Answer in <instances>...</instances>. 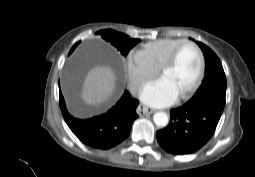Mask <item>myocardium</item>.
<instances>
[{"label":"myocardium","instance_id":"myocardium-1","mask_svg":"<svg viewBox=\"0 0 255 177\" xmlns=\"http://www.w3.org/2000/svg\"><path fill=\"white\" fill-rule=\"evenodd\" d=\"M187 45H190L196 49V51L199 55L200 63H199L198 74H197V77H196L194 83L186 91H184L183 93H181L179 95L181 98H186V97L190 96L191 94H193L198 89V87L200 86V84L203 80L204 72H205V57H204V54H203V51L201 50V48L193 41L184 40L178 46L175 47V49L170 54L169 58L165 61V63L159 69L160 75H162L163 73H165L166 71L171 69L174 66V64L176 63L181 49Z\"/></svg>","mask_w":255,"mask_h":177}]
</instances>
